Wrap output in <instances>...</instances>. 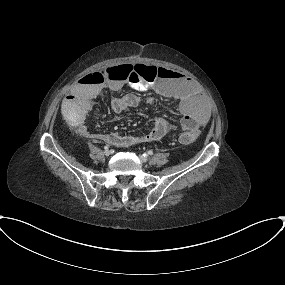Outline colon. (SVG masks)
Returning a JSON list of instances; mask_svg holds the SVG:
<instances>
[{
    "instance_id": "colon-1",
    "label": "colon",
    "mask_w": 285,
    "mask_h": 285,
    "mask_svg": "<svg viewBox=\"0 0 285 285\" xmlns=\"http://www.w3.org/2000/svg\"><path fill=\"white\" fill-rule=\"evenodd\" d=\"M121 75L123 78H128L136 83L144 81H155L160 75V71L152 66L145 65H123L119 68H106L104 70L94 71L90 73H83L80 80L85 83L100 84L107 78H116ZM195 140L194 133H183L180 136V142L182 144H190Z\"/></svg>"
}]
</instances>
